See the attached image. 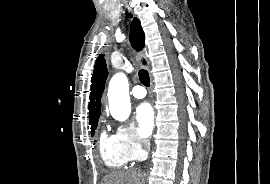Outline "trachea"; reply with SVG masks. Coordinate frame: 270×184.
Returning a JSON list of instances; mask_svg holds the SVG:
<instances>
[{"instance_id":"trachea-1","label":"trachea","mask_w":270,"mask_h":184,"mask_svg":"<svg viewBox=\"0 0 270 184\" xmlns=\"http://www.w3.org/2000/svg\"><path fill=\"white\" fill-rule=\"evenodd\" d=\"M139 80L143 85H145L147 87L150 85L149 74L146 70L139 71Z\"/></svg>"}]
</instances>
